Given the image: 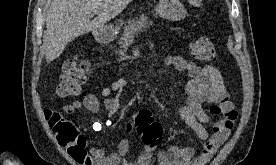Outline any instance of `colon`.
<instances>
[{"label": "colon", "mask_w": 276, "mask_h": 165, "mask_svg": "<svg viewBox=\"0 0 276 165\" xmlns=\"http://www.w3.org/2000/svg\"><path fill=\"white\" fill-rule=\"evenodd\" d=\"M192 52L197 59L202 61H211L216 58V49L213 42L205 37L198 38L192 44ZM88 69V63L79 57L67 60L64 63L57 86L58 95L61 97L78 95L86 80ZM48 117V123L61 145H82L83 135L79 124L75 120L66 119L57 111L51 112ZM131 129L137 132L147 147L154 148L162 140V126L154 119L148 109H141L134 115L133 120L128 125V130Z\"/></svg>", "instance_id": "1"}]
</instances>
